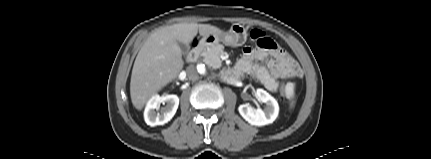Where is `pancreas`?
Masks as SVG:
<instances>
[{"label": "pancreas", "instance_id": "obj_1", "mask_svg": "<svg viewBox=\"0 0 431 159\" xmlns=\"http://www.w3.org/2000/svg\"><path fill=\"white\" fill-rule=\"evenodd\" d=\"M224 46L222 44H215L211 47H207L202 53L203 61L213 68H219L221 66L220 55L223 53Z\"/></svg>", "mask_w": 431, "mask_h": 159}]
</instances>
